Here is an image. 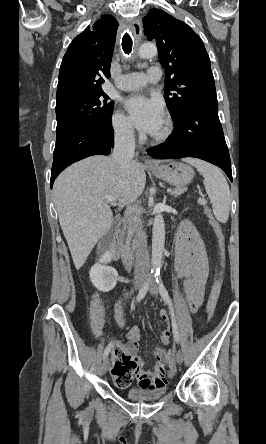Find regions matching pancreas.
Returning a JSON list of instances; mask_svg holds the SVG:
<instances>
[{
	"label": "pancreas",
	"mask_w": 266,
	"mask_h": 444,
	"mask_svg": "<svg viewBox=\"0 0 266 444\" xmlns=\"http://www.w3.org/2000/svg\"><path fill=\"white\" fill-rule=\"evenodd\" d=\"M184 191H185L184 188H177V189H174V190L171 192V194L174 195L175 197H177V196L183 194ZM128 235H129V237L132 235V230H131V229L129 230V234H128Z\"/></svg>",
	"instance_id": "pancreas-1"
}]
</instances>
